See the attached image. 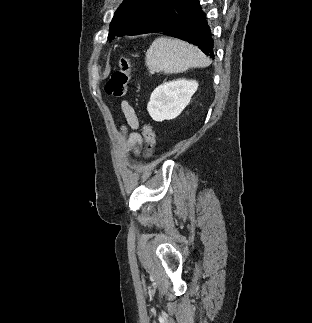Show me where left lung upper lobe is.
Wrapping results in <instances>:
<instances>
[{
	"label": "left lung upper lobe",
	"mask_w": 312,
	"mask_h": 323,
	"mask_svg": "<svg viewBox=\"0 0 312 323\" xmlns=\"http://www.w3.org/2000/svg\"><path fill=\"white\" fill-rule=\"evenodd\" d=\"M173 0H124L110 24L108 39L148 33L170 11Z\"/></svg>",
	"instance_id": "left-lung-upper-lobe-1"
}]
</instances>
